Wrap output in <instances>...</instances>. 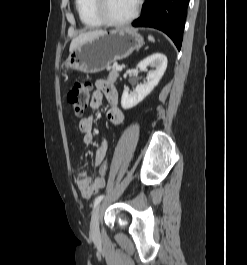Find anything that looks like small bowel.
<instances>
[{"instance_id":"obj_1","label":"small bowel","mask_w":247,"mask_h":265,"mask_svg":"<svg viewBox=\"0 0 247 265\" xmlns=\"http://www.w3.org/2000/svg\"><path fill=\"white\" fill-rule=\"evenodd\" d=\"M96 90L92 95L90 106L93 110L99 108L105 97L109 104L111 105L110 109L107 112V119L110 123L114 125H120L124 122L125 116L123 111L118 107V93L115 87L106 81L98 80L95 83ZM93 117L86 116L83 117L79 122L80 132L83 134L82 142L84 146L88 147L93 143ZM108 150V141L103 140L101 145L96 151L95 154V164L97 166L103 161L106 157ZM105 181H101L99 178L92 179L86 172L79 171L77 174L76 185L79 189L82 197L90 198L96 194L101 188H103Z\"/></svg>"}]
</instances>
